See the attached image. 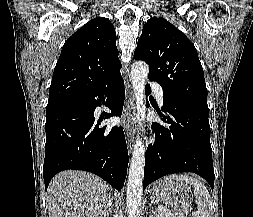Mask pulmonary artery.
Wrapping results in <instances>:
<instances>
[{
  "instance_id": "1",
  "label": "pulmonary artery",
  "mask_w": 253,
  "mask_h": 217,
  "mask_svg": "<svg viewBox=\"0 0 253 217\" xmlns=\"http://www.w3.org/2000/svg\"><path fill=\"white\" fill-rule=\"evenodd\" d=\"M151 87L156 94L157 100L162 103L163 102V88L158 83H152Z\"/></svg>"
}]
</instances>
